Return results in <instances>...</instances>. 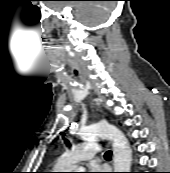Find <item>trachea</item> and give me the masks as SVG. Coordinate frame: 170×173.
Returning <instances> with one entry per match:
<instances>
[{"label":"trachea","instance_id":"1","mask_svg":"<svg viewBox=\"0 0 170 173\" xmlns=\"http://www.w3.org/2000/svg\"><path fill=\"white\" fill-rule=\"evenodd\" d=\"M111 155H112V152L110 150L106 151L104 154L105 157H111Z\"/></svg>","mask_w":170,"mask_h":173}]
</instances>
